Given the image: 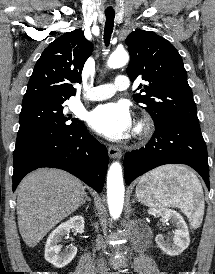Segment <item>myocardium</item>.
Listing matches in <instances>:
<instances>
[{
    "instance_id": "obj_1",
    "label": "myocardium",
    "mask_w": 215,
    "mask_h": 274,
    "mask_svg": "<svg viewBox=\"0 0 215 274\" xmlns=\"http://www.w3.org/2000/svg\"><path fill=\"white\" fill-rule=\"evenodd\" d=\"M153 130V123L151 119L147 116L140 118L136 124L134 134L138 139L148 138Z\"/></svg>"
}]
</instances>
